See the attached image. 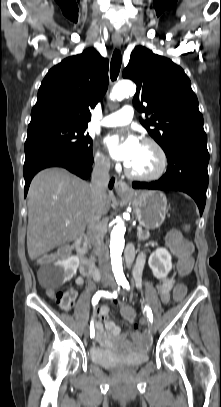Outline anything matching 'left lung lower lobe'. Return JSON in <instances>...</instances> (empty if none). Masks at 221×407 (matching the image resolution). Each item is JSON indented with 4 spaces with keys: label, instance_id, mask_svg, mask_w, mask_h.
<instances>
[{
    "label": "left lung lower lobe",
    "instance_id": "1",
    "mask_svg": "<svg viewBox=\"0 0 221 407\" xmlns=\"http://www.w3.org/2000/svg\"><path fill=\"white\" fill-rule=\"evenodd\" d=\"M166 156L168 168L163 177L152 182H133V188L185 192L194 198L202 215L208 187L207 137L203 135L180 137L173 143Z\"/></svg>",
    "mask_w": 221,
    "mask_h": 407
}]
</instances>
